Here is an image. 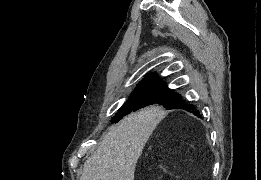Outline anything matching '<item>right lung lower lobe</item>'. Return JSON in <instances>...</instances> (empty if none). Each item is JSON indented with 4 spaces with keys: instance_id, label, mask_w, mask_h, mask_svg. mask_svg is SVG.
Wrapping results in <instances>:
<instances>
[{
    "instance_id": "98d812e1",
    "label": "right lung lower lobe",
    "mask_w": 261,
    "mask_h": 180,
    "mask_svg": "<svg viewBox=\"0 0 261 180\" xmlns=\"http://www.w3.org/2000/svg\"><path fill=\"white\" fill-rule=\"evenodd\" d=\"M176 109H184L188 112L196 110V107L190 104H185L184 102L180 103L178 106L175 107ZM197 111V110H196ZM195 115H199V112H195Z\"/></svg>"
}]
</instances>
